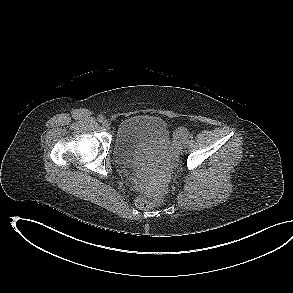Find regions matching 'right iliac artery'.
Returning <instances> with one entry per match:
<instances>
[{
	"mask_svg": "<svg viewBox=\"0 0 293 293\" xmlns=\"http://www.w3.org/2000/svg\"><path fill=\"white\" fill-rule=\"evenodd\" d=\"M98 121L101 123V122H103L104 121V117L102 116V115H99L98 116Z\"/></svg>",
	"mask_w": 293,
	"mask_h": 293,
	"instance_id": "obj_1",
	"label": "right iliac artery"
}]
</instances>
